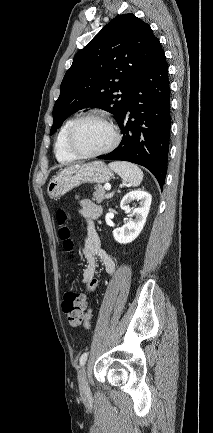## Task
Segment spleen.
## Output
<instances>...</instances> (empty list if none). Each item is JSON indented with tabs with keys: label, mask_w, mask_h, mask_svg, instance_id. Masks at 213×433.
Masks as SVG:
<instances>
[{
	"label": "spleen",
	"mask_w": 213,
	"mask_h": 433,
	"mask_svg": "<svg viewBox=\"0 0 213 433\" xmlns=\"http://www.w3.org/2000/svg\"><path fill=\"white\" fill-rule=\"evenodd\" d=\"M109 167L131 186L137 187L142 182L143 172L135 164L116 161L110 163Z\"/></svg>",
	"instance_id": "3e777b00"
}]
</instances>
